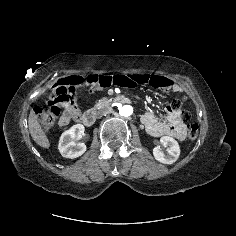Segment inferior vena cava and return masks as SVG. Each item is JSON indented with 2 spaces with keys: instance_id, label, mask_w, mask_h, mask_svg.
<instances>
[{
  "instance_id": "inferior-vena-cava-1",
  "label": "inferior vena cava",
  "mask_w": 236,
  "mask_h": 236,
  "mask_svg": "<svg viewBox=\"0 0 236 236\" xmlns=\"http://www.w3.org/2000/svg\"><path fill=\"white\" fill-rule=\"evenodd\" d=\"M101 116H102V112H98L97 117H101Z\"/></svg>"
}]
</instances>
